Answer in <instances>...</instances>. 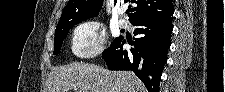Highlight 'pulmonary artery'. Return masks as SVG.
Returning a JSON list of instances; mask_svg holds the SVG:
<instances>
[{
  "instance_id": "e3ab8cb5",
  "label": "pulmonary artery",
  "mask_w": 225,
  "mask_h": 92,
  "mask_svg": "<svg viewBox=\"0 0 225 92\" xmlns=\"http://www.w3.org/2000/svg\"><path fill=\"white\" fill-rule=\"evenodd\" d=\"M121 13H122V12H121ZM118 24H119V26H120L121 28H125V27H127V25H128V21H127L125 18H121V19H119Z\"/></svg>"
}]
</instances>
